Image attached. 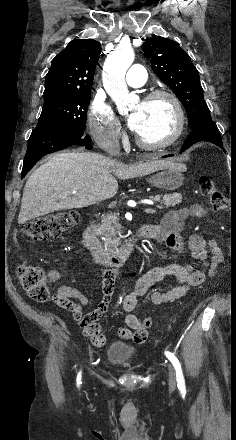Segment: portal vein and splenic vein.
<instances>
[{"mask_svg": "<svg viewBox=\"0 0 236 440\" xmlns=\"http://www.w3.org/2000/svg\"><path fill=\"white\" fill-rule=\"evenodd\" d=\"M74 193H75V192H74ZM144 212H146V213H155V212H156V209L151 208V207H148V208H145V209H144Z\"/></svg>", "mask_w": 236, "mask_h": 440, "instance_id": "portal-vein-and-splenic-vein-1", "label": "portal vein and splenic vein"}]
</instances>
